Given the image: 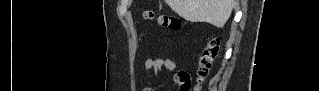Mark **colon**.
<instances>
[{
	"label": "colon",
	"mask_w": 319,
	"mask_h": 91,
	"mask_svg": "<svg viewBox=\"0 0 319 91\" xmlns=\"http://www.w3.org/2000/svg\"><path fill=\"white\" fill-rule=\"evenodd\" d=\"M145 19L156 22L160 27L175 32L182 26V21L176 16L161 13L155 10H149L144 14ZM220 49L219 39H211L203 47L199 56V77L204 78L211 68ZM180 91H191L192 83L188 74H180L179 80Z\"/></svg>",
	"instance_id": "colon-1"
}]
</instances>
